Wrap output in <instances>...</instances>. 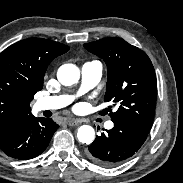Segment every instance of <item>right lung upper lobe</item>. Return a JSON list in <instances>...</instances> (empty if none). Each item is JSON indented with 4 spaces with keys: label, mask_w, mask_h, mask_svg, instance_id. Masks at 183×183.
Instances as JSON below:
<instances>
[{
    "label": "right lung upper lobe",
    "mask_w": 183,
    "mask_h": 183,
    "mask_svg": "<svg viewBox=\"0 0 183 183\" xmlns=\"http://www.w3.org/2000/svg\"><path fill=\"white\" fill-rule=\"evenodd\" d=\"M68 50L55 41L28 38L0 54V139L14 122L31 114L30 102L43 87L49 63Z\"/></svg>",
    "instance_id": "1"
}]
</instances>
